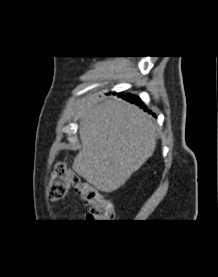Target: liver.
I'll return each instance as SVG.
<instances>
[{"instance_id":"liver-1","label":"liver","mask_w":218,"mask_h":277,"mask_svg":"<svg viewBox=\"0 0 218 277\" xmlns=\"http://www.w3.org/2000/svg\"><path fill=\"white\" fill-rule=\"evenodd\" d=\"M156 124L121 99L90 101L80 115L81 150L73 170L102 192L121 187L152 156Z\"/></svg>"}]
</instances>
